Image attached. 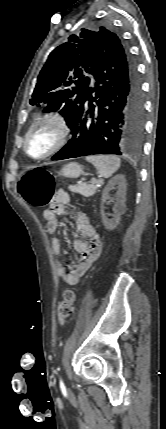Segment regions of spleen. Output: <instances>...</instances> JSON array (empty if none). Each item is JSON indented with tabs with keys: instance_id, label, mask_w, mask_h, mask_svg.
Segmentation results:
<instances>
[{
	"instance_id": "1",
	"label": "spleen",
	"mask_w": 166,
	"mask_h": 429,
	"mask_svg": "<svg viewBox=\"0 0 166 429\" xmlns=\"http://www.w3.org/2000/svg\"><path fill=\"white\" fill-rule=\"evenodd\" d=\"M86 161L92 163L104 178L112 176L121 165L120 158L114 155H91L86 157Z\"/></svg>"
}]
</instances>
